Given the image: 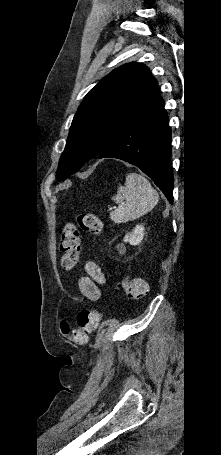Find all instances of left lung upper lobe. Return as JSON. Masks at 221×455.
Wrapping results in <instances>:
<instances>
[{
    "label": "left lung upper lobe",
    "instance_id": "5c2ea615",
    "mask_svg": "<svg viewBox=\"0 0 221 455\" xmlns=\"http://www.w3.org/2000/svg\"><path fill=\"white\" fill-rule=\"evenodd\" d=\"M161 97L158 82L141 63H127L113 70L92 88L70 127L59 161L57 179L77 172L130 123L150 109Z\"/></svg>",
    "mask_w": 221,
    "mask_h": 455
}]
</instances>
